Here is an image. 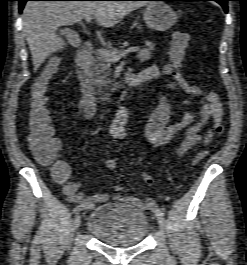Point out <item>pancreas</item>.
<instances>
[{"label": "pancreas", "mask_w": 247, "mask_h": 265, "mask_svg": "<svg viewBox=\"0 0 247 265\" xmlns=\"http://www.w3.org/2000/svg\"><path fill=\"white\" fill-rule=\"evenodd\" d=\"M123 46L119 48H106L99 49L96 51V58L92 65L93 83L99 91L111 90L114 91L115 85L111 79V63L110 59L105 55V52L119 54L123 52ZM154 51V44H151L148 48L141 49L138 52L137 58L140 62H145L151 59Z\"/></svg>", "instance_id": "1"}]
</instances>
